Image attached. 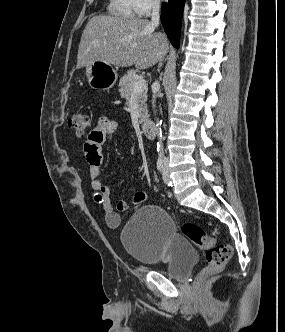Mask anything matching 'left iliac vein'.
<instances>
[{"label":"left iliac vein","mask_w":285,"mask_h":332,"mask_svg":"<svg viewBox=\"0 0 285 332\" xmlns=\"http://www.w3.org/2000/svg\"><path fill=\"white\" fill-rule=\"evenodd\" d=\"M163 180L166 184L170 183L171 182V179H170V176H169V170H168V165L167 163L165 162L164 164V168H163Z\"/></svg>","instance_id":"4c4485c4"}]
</instances>
